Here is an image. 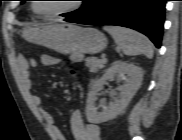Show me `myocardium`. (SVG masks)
I'll return each instance as SVG.
<instances>
[{
	"instance_id": "obj_1",
	"label": "myocardium",
	"mask_w": 182,
	"mask_h": 140,
	"mask_svg": "<svg viewBox=\"0 0 182 140\" xmlns=\"http://www.w3.org/2000/svg\"><path fill=\"white\" fill-rule=\"evenodd\" d=\"M81 7V4L79 1H75V3H73L69 8L64 9V10H60V11H56V12H52V13H48V14H43L40 13L36 7V4H33L32 9L34 11V13L39 16L40 18L43 19H52V18H56L71 12H74L76 10H78Z\"/></svg>"
}]
</instances>
